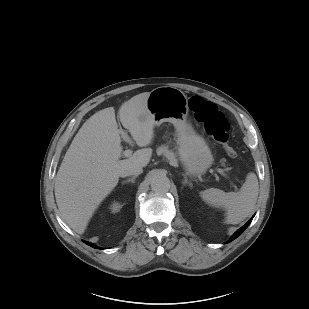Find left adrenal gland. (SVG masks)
I'll use <instances>...</instances> for the list:
<instances>
[{"label": "left adrenal gland", "instance_id": "1", "mask_svg": "<svg viewBox=\"0 0 309 309\" xmlns=\"http://www.w3.org/2000/svg\"><path fill=\"white\" fill-rule=\"evenodd\" d=\"M183 176H184V181L182 182L184 185H189L190 187H192V183L191 182H189L188 180H187V178H186V176L183 174Z\"/></svg>", "mask_w": 309, "mask_h": 309}]
</instances>
